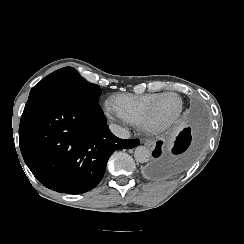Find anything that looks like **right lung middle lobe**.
Returning <instances> with one entry per match:
<instances>
[{
  "mask_svg": "<svg viewBox=\"0 0 244 244\" xmlns=\"http://www.w3.org/2000/svg\"><path fill=\"white\" fill-rule=\"evenodd\" d=\"M101 89L86 81L74 68H61L35 85L29 98L35 96L63 97L81 104L98 105Z\"/></svg>",
  "mask_w": 244,
  "mask_h": 244,
  "instance_id": "obj_1",
  "label": "right lung middle lobe"
}]
</instances>
